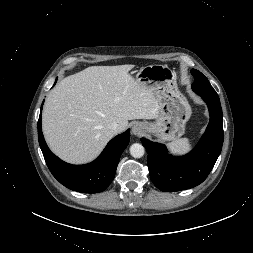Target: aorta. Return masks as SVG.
<instances>
[{
    "label": "aorta",
    "instance_id": "1",
    "mask_svg": "<svg viewBox=\"0 0 253 253\" xmlns=\"http://www.w3.org/2000/svg\"><path fill=\"white\" fill-rule=\"evenodd\" d=\"M145 153L144 147L139 143H134L130 146V154L134 158H141Z\"/></svg>",
    "mask_w": 253,
    "mask_h": 253
}]
</instances>
